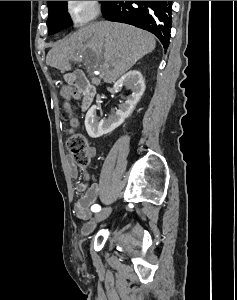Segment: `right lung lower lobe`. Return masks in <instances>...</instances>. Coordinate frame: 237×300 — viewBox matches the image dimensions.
I'll return each instance as SVG.
<instances>
[{
    "mask_svg": "<svg viewBox=\"0 0 237 300\" xmlns=\"http://www.w3.org/2000/svg\"><path fill=\"white\" fill-rule=\"evenodd\" d=\"M172 1H104L103 16L109 21L134 25L155 34L165 50L169 46Z\"/></svg>",
    "mask_w": 237,
    "mask_h": 300,
    "instance_id": "right-lung-lower-lobe-1",
    "label": "right lung lower lobe"
}]
</instances>
